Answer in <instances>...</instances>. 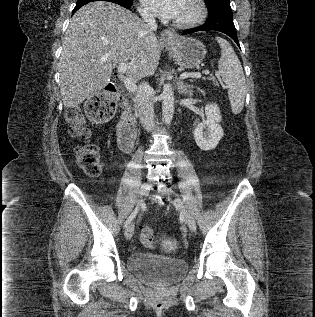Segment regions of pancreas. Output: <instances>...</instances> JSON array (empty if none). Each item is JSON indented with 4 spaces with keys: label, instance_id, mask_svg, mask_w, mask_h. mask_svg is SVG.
Returning <instances> with one entry per match:
<instances>
[{
    "label": "pancreas",
    "instance_id": "1",
    "mask_svg": "<svg viewBox=\"0 0 315 317\" xmlns=\"http://www.w3.org/2000/svg\"><path fill=\"white\" fill-rule=\"evenodd\" d=\"M208 79H209V80H211V81H213L215 85H217V84H218V83H217V80H216V78H215V77H210V78H208Z\"/></svg>",
    "mask_w": 315,
    "mask_h": 317
}]
</instances>
